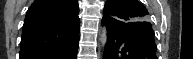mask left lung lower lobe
I'll return each mask as SVG.
<instances>
[{"mask_svg":"<svg viewBox=\"0 0 193 59\" xmlns=\"http://www.w3.org/2000/svg\"><path fill=\"white\" fill-rule=\"evenodd\" d=\"M102 25L108 28L104 59H157L154 31L149 22L127 26L104 14Z\"/></svg>","mask_w":193,"mask_h":59,"instance_id":"left-lung-lower-lobe-1","label":"left lung lower lobe"}]
</instances>
